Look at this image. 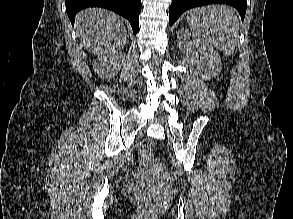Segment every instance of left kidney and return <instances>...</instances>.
<instances>
[{
    "label": "left kidney",
    "instance_id": "1",
    "mask_svg": "<svg viewBox=\"0 0 293 219\" xmlns=\"http://www.w3.org/2000/svg\"><path fill=\"white\" fill-rule=\"evenodd\" d=\"M179 48L185 58L198 65V73L206 80L216 77L221 70V58L209 44L181 28L177 33Z\"/></svg>",
    "mask_w": 293,
    "mask_h": 219
}]
</instances>
